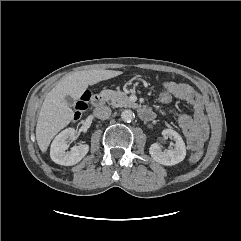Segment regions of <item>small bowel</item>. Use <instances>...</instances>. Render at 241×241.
Instances as JSON below:
<instances>
[{
	"instance_id": "small-bowel-1",
	"label": "small bowel",
	"mask_w": 241,
	"mask_h": 241,
	"mask_svg": "<svg viewBox=\"0 0 241 241\" xmlns=\"http://www.w3.org/2000/svg\"><path fill=\"white\" fill-rule=\"evenodd\" d=\"M173 98L186 102L192 109V115L182 114L178 124L183 132L188 148L198 150L208 136V122L204 103L199 93L189 84L167 81L163 83Z\"/></svg>"
}]
</instances>
